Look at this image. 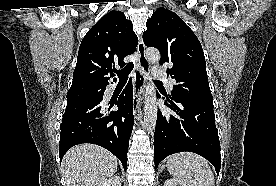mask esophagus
Returning <instances> with one entry per match:
<instances>
[{"label":"esophagus","mask_w":276,"mask_h":186,"mask_svg":"<svg viewBox=\"0 0 276 186\" xmlns=\"http://www.w3.org/2000/svg\"><path fill=\"white\" fill-rule=\"evenodd\" d=\"M138 68L134 72V94L133 114L135 115L141 105L146 85V71L149 69V62L145 55V45L141 39L137 46Z\"/></svg>","instance_id":"esophagus-1"}]
</instances>
